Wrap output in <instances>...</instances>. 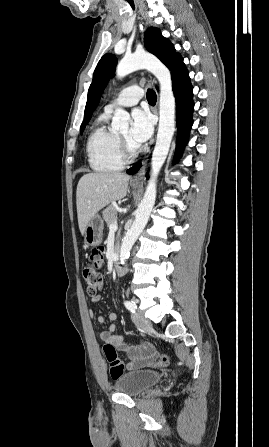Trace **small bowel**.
I'll use <instances>...</instances> for the list:
<instances>
[{
    "mask_svg": "<svg viewBox=\"0 0 269 447\" xmlns=\"http://www.w3.org/2000/svg\"><path fill=\"white\" fill-rule=\"evenodd\" d=\"M91 301L93 303H98L100 301V296H97V295L93 296L91 298ZM90 316H92V317L95 316L94 310H90ZM116 319H117V314L113 313V312L109 313L107 316L100 315L97 318V320L100 324H105L108 320L115 321ZM115 329H116V327L114 325H110L107 330L101 331L99 336L102 341L115 345L119 350L125 352L128 355V357H129L128 368H130V369L144 368L143 367L144 362L149 361L151 357L158 356V352H157L155 346L150 342H145V344L147 345V347L154 348L155 353L153 356H130L128 353L129 348L136 347V345L129 346L128 344H126L121 335L114 334Z\"/></svg>",
    "mask_w": 269,
    "mask_h": 447,
    "instance_id": "c3829d8e",
    "label": "small bowel"
}]
</instances>
